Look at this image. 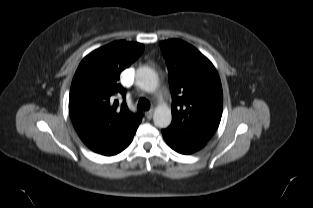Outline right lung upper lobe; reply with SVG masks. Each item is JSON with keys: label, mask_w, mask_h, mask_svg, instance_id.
I'll use <instances>...</instances> for the list:
<instances>
[{"label": "right lung upper lobe", "mask_w": 313, "mask_h": 208, "mask_svg": "<svg viewBox=\"0 0 313 208\" xmlns=\"http://www.w3.org/2000/svg\"><path fill=\"white\" fill-rule=\"evenodd\" d=\"M140 43L114 41L88 54L80 63L71 84L69 113L80 134L107 133L126 136L136 131L141 113L119 107L117 95L126 94L118 82L120 73L143 52Z\"/></svg>", "instance_id": "1"}]
</instances>
